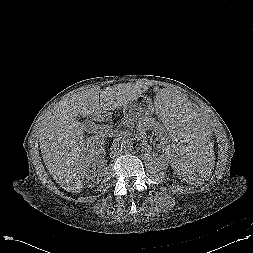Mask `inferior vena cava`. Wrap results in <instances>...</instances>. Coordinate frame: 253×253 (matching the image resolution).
<instances>
[{
	"label": "inferior vena cava",
	"mask_w": 253,
	"mask_h": 253,
	"mask_svg": "<svg viewBox=\"0 0 253 253\" xmlns=\"http://www.w3.org/2000/svg\"><path fill=\"white\" fill-rule=\"evenodd\" d=\"M121 152L120 148H119V144H115L113 147H112V150H111V155L112 156H117L119 155Z\"/></svg>",
	"instance_id": "inferior-vena-cava-1"
}]
</instances>
